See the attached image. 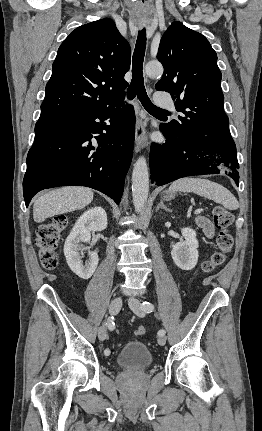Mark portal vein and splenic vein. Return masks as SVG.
<instances>
[{"label": "portal vein and splenic vein", "instance_id": "portal-vein-and-splenic-vein-1", "mask_svg": "<svg viewBox=\"0 0 262 431\" xmlns=\"http://www.w3.org/2000/svg\"><path fill=\"white\" fill-rule=\"evenodd\" d=\"M201 211H202L201 209H197L195 210V213L198 214V213H201Z\"/></svg>", "mask_w": 262, "mask_h": 431}]
</instances>
